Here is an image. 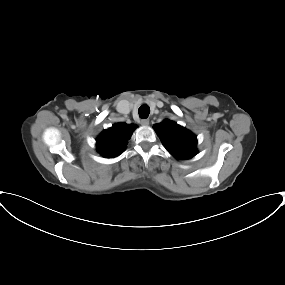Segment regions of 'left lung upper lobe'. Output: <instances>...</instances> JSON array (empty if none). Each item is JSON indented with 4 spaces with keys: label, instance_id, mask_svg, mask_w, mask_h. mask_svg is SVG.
Segmentation results:
<instances>
[{
    "label": "left lung upper lobe",
    "instance_id": "5c2ea615",
    "mask_svg": "<svg viewBox=\"0 0 285 285\" xmlns=\"http://www.w3.org/2000/svg\"><path fill=\"white\" fill-rule=\"evenodd\" d=\"M163 146L178 159H190L197 154L196 136L177 123L164 120L154 125Z\"/></svg>",
    "mask_w": 285,
    "mask_h": 285
}]
</instances>
